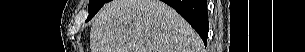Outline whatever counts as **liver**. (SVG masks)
Listing matches in <instances>:
<instances>
[{
	"label": "liver",
	"mask_w": 305,
	"mask_h": 52,
	"mask_svg": "<svg viewBox=\"0 0 305 52\" xmlns=\"http://www.w3.org/2000/svg\"><path fill=\"white\" fill-rule=\"evenodd\" d=\"M91 52H202V40L160 0H113L93 19Z\"/></svg>",
	"instance_id": "obj_1"
}]
</instances>
